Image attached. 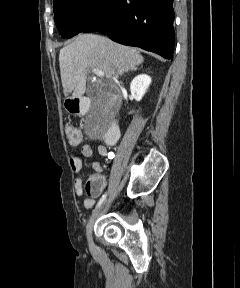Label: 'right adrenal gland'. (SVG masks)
Here are the masks:
<instances>
[{
    "label": "right adrenal gland",
    "mask_w": 240,
    "mask_h": 288,
    "mask_svg": "<svg viewBox=\"0 0 240 288\" xmlns=\"http://www.w3.org/2000/svg\"><path fill=\"white\" fill-rule=\"evenodd\" d=\"M136 70H137V67L131 68V69L126 70V71H118L117 75H118V76H121V75H123V74H125V73H128V72H130V71H136Z\"/></svg>",
    "instance_id": "obj_1"
}]
</instances>
